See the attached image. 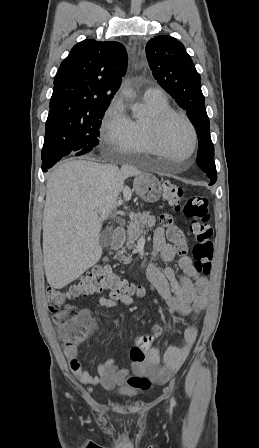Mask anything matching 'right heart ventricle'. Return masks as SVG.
<instances>
[{
  "mask_svg": "<svg viewBox=\"0 0 259 448\" xmlns=\"http://www.w3.org/2000/svg\"><path fill=\"white\" fill-rule=\"evenodd\" d=\"M142 100L148 109L146 117L136 118L128 112L123 111L122 113L129 132V152L122 157L124 163H139L138 157L142 152L145 153L146 151L153 150L154 147L151 142V118L172 110L165 95L152 96L145 92Z\"/></svg>",
  "mask_w": 259,
  "mask_h": 448,
  "instance_id": "right-heart-ventricle-1",
  "label": "right heart ventricle"
}]
</instances>
